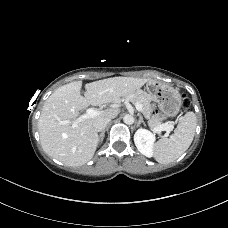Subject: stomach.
I'll use <instances>...</instances> for the list:
<instances>
[{"instance_id": "1", "label": "stomach", "mask_w": 228, "mask_h": 228, "mask_svg": "<svg viewBox=\"0 0 228 228\" xmlns=\"http://www.w3.org/2000/svg\"><path fill=\"white\" fill-rule=\"evenodd\" d=\"M145 89L144 93L153 99L167 116L177 115L182 104V98L177 89L158 81L147 82Z\"/></svg>"}]
</instances>
